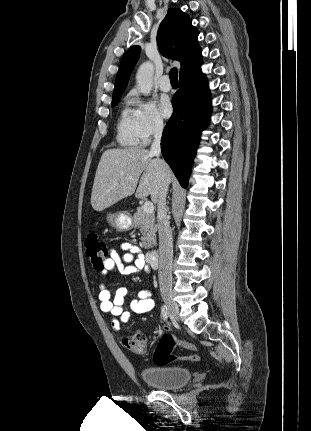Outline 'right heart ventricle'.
Listing matches in <instances>:
<instances>
[{"instance_id": "obj_1", "label": "right heart ventricle", "mask_w": 311, "mask_h": 431, "mask_svg": "<svg viewBox=\"0 0 311 431\" xmlns=\"http://www.w3.org/2000/svg\"><path fill=\"white\" fill-rule=\"evenodd\" d=\"M142 130L135 112L129 107H123L116 124V141L122 147L136 148L140 145Z\"/></svg>"}]
</instances>
